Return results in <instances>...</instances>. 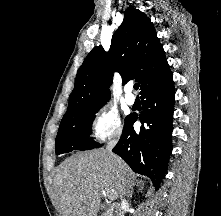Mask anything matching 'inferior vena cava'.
<instances>
[{
  "label": "inferior vena cava",
  "mask_w": 221,
  "mask_h": 216,
  "mask_svg": "<svg viewBox=\"0 0 221 216\" xmlns=\"http://www.w3.org/2000/svg\"><path fill=\"white\" fill-rule=\"evenodd\" d=\"M115 143H116L115 141H112V142H110V143L107 145L106 149H107L110 153H112L111 150H112V148L114 147ZM119 164H120V162H119ZM124 203H125V200L122 199V197H121V204L123 205ZM117 216H124V215H123V208H122V206H121V207H118Z\"/></svg>",
  "instance_id": "602c4592"
}]
</instances>
